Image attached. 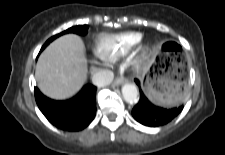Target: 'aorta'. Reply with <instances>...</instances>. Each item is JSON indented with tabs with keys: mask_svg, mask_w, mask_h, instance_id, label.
Listing matches in <instances>:
<instances>
[{
	"mask_svg": "<svg viewBox=\"0 0 225 155\" xmlns=\"http://www.w3.org/2000/svg\"><path fill=\"white\" fill-rule=\"evenodd\" d=\"M122 95L127 103L133 104L138 99V90L134 84L126 83L122 87Z\"/></svg>",
	"mask_w": 225,
	"mask_h": 155,
	"instance_id": "obj_1",
	"label": "aorta"
}]
</instances>
